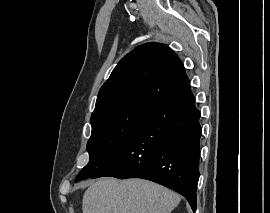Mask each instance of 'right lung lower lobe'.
I'll use <instances>...</instances> for the list:
<instances>
[{
    "mask_svg": "<svg viewBox=\"0 0 270 213\" xmlns=\"http://www.w3.org/2000/svg\"><path fill=\"white\" fill-rule=\"evenodd\" d=\"M200 112L190 85L159 102L119 151L90 178H143L183 195L196 210Z\"/></svg>",
    "mask_w": 270,
    "mask_h": 213,
    "instance_id": "98d812e1",
    "label": "right lung lower lobe"
}]
</instances>
